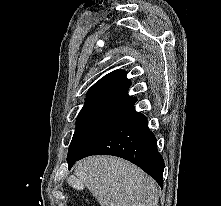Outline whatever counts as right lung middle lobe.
Returning a JSON list of instances; mask_svg holds the SVG:
<instances>
[{
	"mask_svg": "<svg viewBox=\"0 0 221 206\" xmlns=\"http://www.w3.org/2000/svg\"><path fill=\"white\" fill-rule=\"evenodd\" d=\"M122 107L94 106L83 108L77 117L67 161L78 158L88 145L126 111Z\"/></svg>",
	"mask_w": 221,
	"mask_h": 206,
	"instance_id": "1",
	"label": "right lung middle lobe"
}]
</instances>
